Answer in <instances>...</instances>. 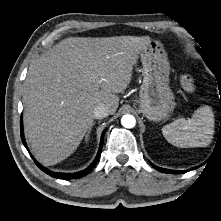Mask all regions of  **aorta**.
Segmentation results:
<instances>
[{"instance_id":"762f6f07","label":"aorta","mask_w":221,"mask_h":221,"mask_svg":"<svg viewBox=\"0 0 221 221\" xmlns=\"http://www.w3.org/2000/svg\"><path fill=\"white\" fill-rule=\"evenodd\" d=\"M121 124L125 128H133L136 124L135 117L133 115H124L121 119Z\"/></svg>"}]
</instances>
